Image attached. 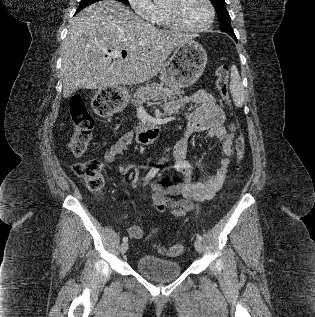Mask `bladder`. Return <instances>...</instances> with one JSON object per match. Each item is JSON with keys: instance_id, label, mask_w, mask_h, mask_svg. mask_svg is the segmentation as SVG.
<instances>
[{"instance_id": "bladder-1", "label": "bladder", "mask_w": 315, "mask_h": 317, "mask_svg": "<svg viewBox=\"0 0 315 317\" xmlns=\"http://www.w3.org/2000/svg\"><path fill=\"white\" fill-rule=\"evenodd\" d=\"M135 268L143 276L160 282L174 279L182 272V268L178 262L152 255H142L139 257Z\"/></svg>"}]
</instances>
